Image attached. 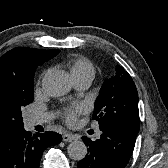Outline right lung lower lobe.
I'll list each match as a JSON object with an SVG mask.
<instances>
[{"instance_id": "obj_1", "label": "right lung lower lobe", "mask_w": 168, "mask_h": 168, "mask_svg": "<svg viewBox=\"0 0 168 168\" xmlns=\"http://www.w3.org/2000/svg\"><path fill=\"white\" fill-rule=\"evenodd\" d=\"M61 140L55 132L32 136L24 127L13 130L0 140V168H39L43 151Z\"/></svg>"}]
</instances>
